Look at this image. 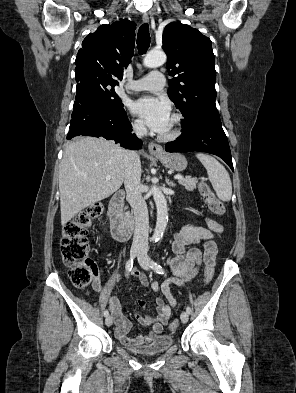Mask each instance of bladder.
<instances>
[{"mask_svg": "<svg viewBox=\"0 0 296 393\" xmlns=\"http://www.w3.org/2000/svg\"><path fill=\"white\" fill-rule=\"evenodd\" d=\"M174 343V338L171 335L160 334L155 336L146 346L132 347L126 346L125 349L142 356L156 355L164 353Z\"/></svg>", "mask_w": 296, "mask_h": 393, "instance_id": "31cf9c89", "label": "bladder"}]
</instances>
